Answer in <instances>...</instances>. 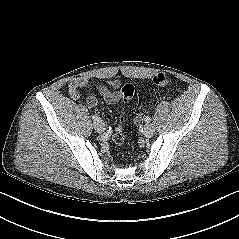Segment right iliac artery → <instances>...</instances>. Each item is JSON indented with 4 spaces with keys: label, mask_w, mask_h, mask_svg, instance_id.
<instances>
[{
    "label": "right iliac artery",
    "mask_w": 239,
    "mask_h": 239,
    "mask_svg": "<svg viewBox=\"0 0 239 239\" xmlns=\"http://www.w3.org/2000/svg\"><path fill=\"white\" fill-rule=\"evenodd\" d=\"M92 119L96 122L99 121L100 118L97 115H92Z\"/></svg>",
    "instance_id": "82829eb1"
}]
</instances>
